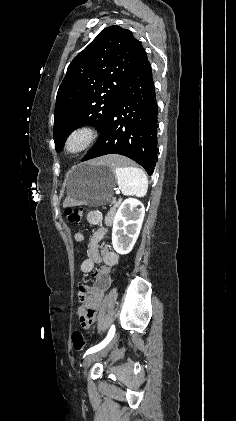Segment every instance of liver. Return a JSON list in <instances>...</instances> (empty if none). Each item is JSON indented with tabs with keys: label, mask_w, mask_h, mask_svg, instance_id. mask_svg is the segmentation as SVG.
<instances>
[{
	"label": "liver",
	"mask_w": 236,
	"mask_h": 421,
	"mask_svg": "<svg viewBox=\"0 0 236 421\" xmlns=\"http://www.w3.org/2000/svg\"><path fill=\"white\" fill-rule=\"evenodd\" d=\"M98 162H100V164H109V166H115L117 162H119V164H121V162H126V158H123V156H117V154H112V156H102ZM69 202H71V198L67 196L63 202L64 206H69Z\"/></svg>",
	"instance_id": "6515ba94"
}]
</instances>
